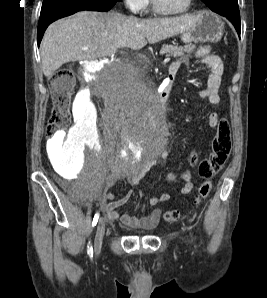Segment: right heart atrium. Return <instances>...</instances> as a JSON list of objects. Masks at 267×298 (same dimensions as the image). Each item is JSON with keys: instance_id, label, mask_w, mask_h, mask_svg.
<instances>
[{"instance_id": "right-heart-atrium-1", "label": "right heart atrium", "mask_w": 267, "mask_h": 298, "mask_svg": "<svg viewBox=\"0 0 267 298\" xmlns=\"http://www.w3.org/2000/svg\"><path fill=\"white\" fill-rule=\"evenodd\" d=\"M149 0H124L126 6L133 13H140L145 10L148 5Z\"/></svg>"}]
</instances>
